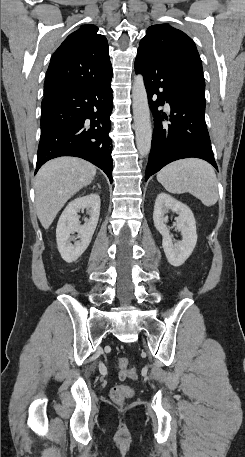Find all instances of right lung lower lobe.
<instances>
[{"mask_svg":"<svg viewBox=\"0 0 245 457\" xmlns=\"http://www.w3.org/2000/svg\"><path fill=\"white\" fill-rule=\"evenodd\" d=\"M112 76L77 83L44 96L35 173L50 159L75 156L98 166L112 183Z\"/></svg>","mask_w":245,"mask_h":457,"instance_id":"obj_1","label":"right lung lower lobe"}]
</instances>
